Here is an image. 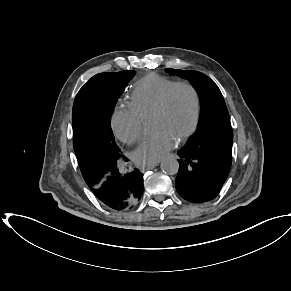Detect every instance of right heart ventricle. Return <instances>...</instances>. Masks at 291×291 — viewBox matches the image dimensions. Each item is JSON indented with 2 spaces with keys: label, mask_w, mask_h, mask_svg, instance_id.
Wrapping results in <instances>:
<instances>
[{
  "label": "right heart ventricle",
  "mask_w": 291,
  "mask_h": 291,
  "mask_svg": "<svg viewBox=\"0 0 291 291\" xmlns=\"http://www.w3.org/2000/svg\"><path fill=\"white\" fill-rule=\"evenodd\" d=\"M175 83L174 80L155 73L139 78L133 85L128 106L141 119L149 118L159 106L166 90Z\"/></svg>",
  "instance_id": "e07e8e85"
}]
</instances>
